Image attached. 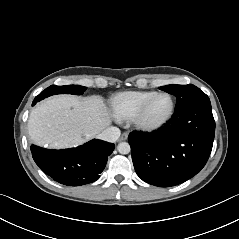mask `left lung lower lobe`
<instances>
[{
	"label": "left lung lower lobe",
	"instance_id": "0a47b994",
	"mask_svg": "<svg viewBox=\"0 0 239 239\" xmlns=\"http://www.w3.org/2000/svg\"><path fill=\"white\" fill-rule=\"evenodd\" d=\"M215 121L208 97L175 109L164 127L152 133L132 132L128 141L138 176L159 186H175L205 166L212 150Z\"/></svg>",
	"mask_w": 239,
	"mask_h": 239
}]
</instances>
